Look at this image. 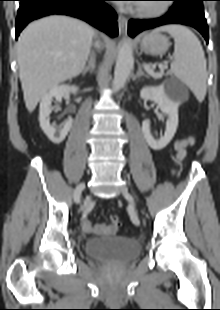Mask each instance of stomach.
I'll list each match as a JSON object with an SVG mask.
<instances>
[{"label":"stomach","mask_w":220,"mask_h":310,"mask_svg":"<svg viewBox=\"0 0 220 310\" xmlns=\"http://www.w3.org/2000/svg\"><path fill=\"white\" fill-rule=\"evenodd\" d=\"M170 45L169 38L160 33L147 34L140 42L142 51L149 55H162Z\"/></svg>","instance_id":"1"}]
</instances>
